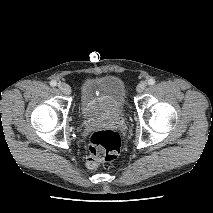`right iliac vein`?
I'll return each instance as SVG.
<instances>
[{"label": "right iliac vein", "instance_id": "1", "mask_svg": "<svg viewBox=\"0 0 213 213\" xmlns=\"http://www.w3.org/2000/svg\"><path fill=\"white\" fill-rule=\"evenodd\" d=\"M58 88H59V90H60L62 93H64L65 95H69V94L71 93V88H70V86H69L68 84H66V83H63V82L59 83V84H58Z\"/></svg>", "mask_w": 213, "mask_h": 213}]
</instances>
